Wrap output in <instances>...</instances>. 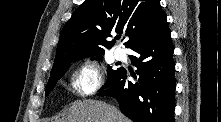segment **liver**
<instances>
[{"instance_id": "liver-1", "label": "liver", "mask_w": 221, "mask_h": 122, "mask_svg": "<svg viewBox=\"0 0 221 122\" xmlns=\"http://www.w3.org/2000/svg\"><path fill=\"white\" fill-rule=\"evenodd\" d=\"M60 122H129L117 108L102 101H74Z\"/></svg>"}]
</instances>
